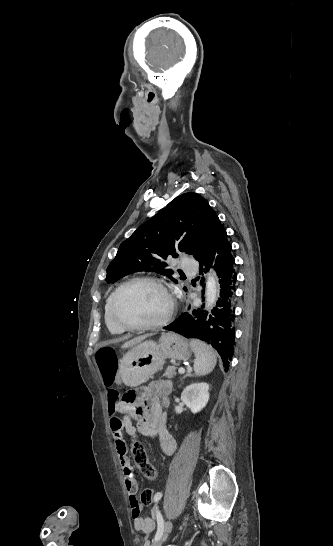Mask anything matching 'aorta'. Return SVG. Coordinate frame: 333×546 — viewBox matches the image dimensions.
I'll list each match as a JSON object with an SVG mask.
<instances>
[{
    "mask_svg": "<svg viewBox=\"0 0 333 546\" xmlns=\"http://www.w3.org/2000/svg\"><path fill=\"white\" fill-rule=\"evenodd\" d=\"M217 278L214 273H209L207 282H206V290H205V298H206V307L211 308L215 305L217 300Z\"/></svg>",
    "mask_w": 333,
    "mask_h": 546,
    "instance_id": "aorta-1",
    "label": "aorta"
}]
</instances>
